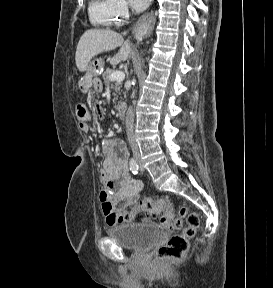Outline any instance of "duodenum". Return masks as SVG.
<instances>
[{"label":"duodenum","instance_id":"1","mask_svg":"<svg viewBox=\"0 0 273 288\" xmlns=\"http://www.w3.org/2000/svg\"><path fill=\"white\" fill-rule=\"evenodd\" d=\"M116 114L119 119H124L126 114V105L123 102H120L116 105Z\"/></svg>","mask_w":273,"mask_h":288}]
</instances>
